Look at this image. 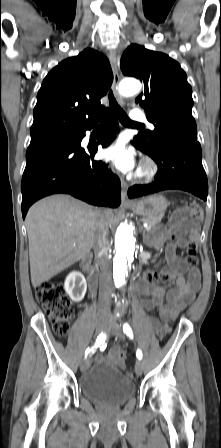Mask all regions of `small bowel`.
<instances>
[{"mask_svg":"<svg viewBox=\"0 0 221 448\" xmlns=\"http://www.w3.org/2000/svg\"><path fill=\"white\" fill-rule=\"evenodd\" d=\"M197 239L193 228L169 222L150 237L155 249L165 247L167 266L160 274L147 273L145 281L139 284L140 292L145 296L142 307L156 310L159 319L150 318V323L160 337L171 332L168 322L178 316L194 300L200 289V271L190 267L177 255V249H183L189 242ZM173 285V288H170ZM109 360L119 368L125 367V354L118 346L112 347L107 356H95L100 363Z\"/></svg>","mask_w":221,"mask_h":448,"instance_id":"c3829d8e","label":"small bowel"}]
</instances>
